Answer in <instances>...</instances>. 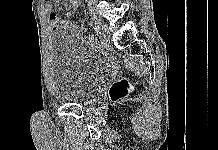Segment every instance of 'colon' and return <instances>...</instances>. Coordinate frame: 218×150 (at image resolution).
<instances>
[{
	"instance_id": "obj_1",
	"label": "colon",
	"mask_w": 218,
	"mask_h": 150,
	"mask_svg": "<svg viewBox=\"0 0 218 150\" xmlns=\"http://www.w3.org/2000/svg\"><path fill=\"white\" fill-rule=\"evenodd\" d=\"M132 84L125 78L115 81L109 88V98L112 102L124 99L132 89Z\"/></svg>"
}]
</instances>
